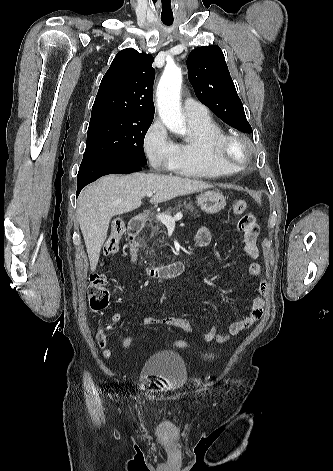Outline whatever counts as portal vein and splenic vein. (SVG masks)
<instances>
[{
    "instance_id": "18ae733b",
    "label": "portal vein and splenic vein",
    "mask_w": 333,
    "mask_h": 471,
    "mask_svg": "<svg viewBox=\"0 0 333 471\" xmlns=\"http://www.w3.org/2000/svg\"><path fill=\"white\" fill-rule=\"evenodd\" d=\"M154 192L152 191H149L147 192V196L148 197H151L153 195ZM182 213L179 212L177 213L174 217H171L170 215H166V214H158L157 215V219L160 220L164 225L166 226H170V225H174L175 224V221H178L182 218Z\"/></svg>"
}]
</instances>
